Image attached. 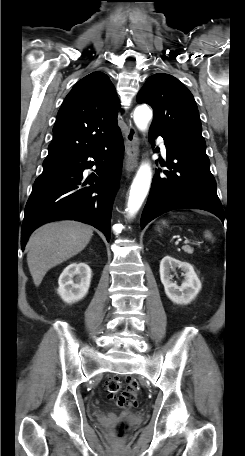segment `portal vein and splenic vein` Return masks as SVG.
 <instances>
[{"label":"portal vein and splenic vein","mask_w":245,"mask_h":456,"mask_svg":"<svg viewBox=\"0 0 245 456\" xmlns=\"http://www.w3.org/2000/svg\"><path fill=\"white\" fill-rule=\"evenodd\" d=\"M183 243H184V244H188V243H190V242H189V240H184Z\"/></svg>","instance_id":"portal-vein-and-splenic-vein-1"}]
</instances>
